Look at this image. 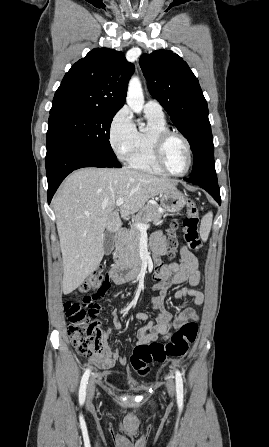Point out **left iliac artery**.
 Here are the masks:
<instances>
[{"label":"left iliac artery","instance_id":"44dca946","mask_svg":"<svg viewBox=\"0 0 269 447\" xmlns=\"http://www.w3.org/2000/svg\"><path fill=\"white\" fill-rule=\"evenodd\" d=\"M176 392H177V403L181 407L183 405V380L181 373L177 370L176 375Z\"/></svg>","mask_w":269,"mask_h":447}]
</instances>
